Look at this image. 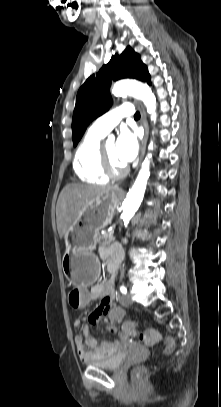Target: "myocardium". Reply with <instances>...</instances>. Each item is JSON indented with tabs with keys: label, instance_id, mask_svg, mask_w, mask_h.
I'll list each match as a JSON object with an SVG mask.
<instances>
[{
	"label": "myocardium",
	"instance_id": "myocardium-1",
	"mask_svg": "<svg viewBox=\"0 0 221 407\" xmlns=\"http://www.w3.org/2000/svg\"><path fill=\"white\" fill-rule=\"evenodd\" d=\"M100 155H101L102 170L108 178H119V177L124 176L128 172V169L126 167L115 168L112 165L111 161L109 160V158L106 154L104 146L101 147Z\"/></svg>",
	"mask_w": 221,
	"mask_h": 407
}]
</instances>
